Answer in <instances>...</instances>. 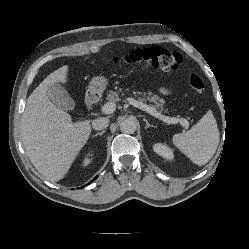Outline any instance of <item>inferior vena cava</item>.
<instances>
[{"instance_id": "1", "label": "inferior vena cava", "mask_w": 249, "mask_h": 249, "mask_svg": "<svg viewBox=\"0 0 249 249\" xmlns=\"http://www.w3.org/2000/svg\"><path fill=\"white\" fill-rule=\"evenodd\" d=\"M109 125V119L108 118H97L92 121V127L95 130H102L107 128Z\"/></svg>"}]
</instances>
